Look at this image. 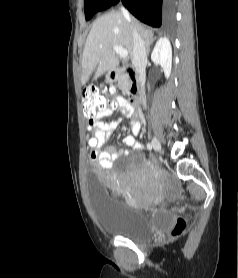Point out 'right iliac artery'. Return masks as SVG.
<instances>
[{"label":"right iliac artery","mask_w":238,"mask_h":278,"mask_svg":"<svg viewBox=\"0 0 238 278\" xmlns=\"http://www.w3.org/2000/svg\"><path fill=\"white\" fill-rule=\"evenodd\" d=\"M147 149L152 150V144L151 143H147Z\"/></svg>","instance_id":"82829eb1"}]
</instances>
